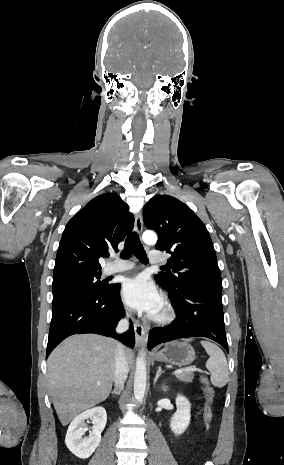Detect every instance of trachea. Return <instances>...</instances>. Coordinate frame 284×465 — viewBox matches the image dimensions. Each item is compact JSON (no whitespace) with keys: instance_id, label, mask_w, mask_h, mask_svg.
Here are the masks:
<instances>
[{"instance_id":"1","label":"trachea","mask_w":284,"mask_h":465,"mask_svg":"<svg viewBox=\"0 0 284 465\" xmlns=\"http://www.w3.org/2000/svg\"><path fill=\"white\" fill-rule=\"evenodd\" d=\"M132 253L142 262L148 263L147 255L145 253V250L143 248L142 243L140 242L139 236L137 233H131L126 241H125V246L124 250L121 252L120 256L123 259H129L132 256ZM162 269L168 271L169 267L167 265L162 266Z\"/></svg>"}]
</instances>
